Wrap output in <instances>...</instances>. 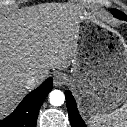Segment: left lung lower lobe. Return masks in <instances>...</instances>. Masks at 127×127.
Wrapping results in <instances>:
<instances>
[{
	"label": "left lung lower lobe",
	"mask_w": 127,
	"mask_h": 127,
	"mask_svg": "<svg viewBox=\"0 0 127 127\" xmlns=\"http://www.w3.org/2000/svg\"><path fill=\"white\" fill-rule=\"evenodd\" d=\"M69 119L72 127H87L78 113L76 102L69 90L65 92Z\"/></svg>",
	"instance_id": "left-lung-lower-lobe-1"
}]
</instances>
